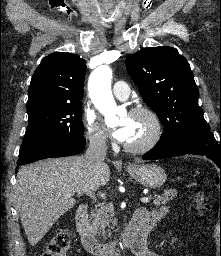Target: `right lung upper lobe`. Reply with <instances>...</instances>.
Returning a JSON list of instances; mask_svg holds the SVG:
<instances>
[{
	"label": "right lung upper lobe",
	"mask_w": 221,
	"mask_h": 256,
	"mask_svg": "<svg viewBox=\"0 0 221 256\" xmlns=\"http://www.w3.org/2000/svg\"><path fill=\"white\" fill-rule=\"evenodd\" d=\"M86 61L72 53H51L31 79L27 110L46 104L82 103Z\"/></svg>",
	"instance_id": "right-lung-upper-lobe-1"
}]
</instances>
